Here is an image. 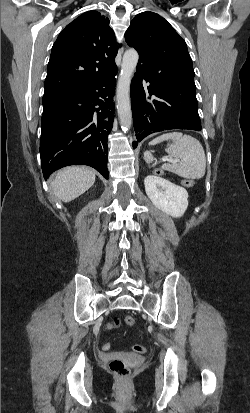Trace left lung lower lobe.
I'll return each mask as SVG.
<instances>
[{
	"label": "left lung lower lobe",
	"mask_w": 250,
	"mask_h": 413,
	"mask_svg": "<svg viewBox=\"0 0 250 413\" xmlns=\"http://www.w3.org/2000/svg\"><path fill=\"white\" fill-rule=\"evenodd\" d=\"M131 82L132 115L137 142L147 135L169 129L201 130L194 82L179 83L173 78L154 79L136 68ZM149 85L143 87L142 80Z\"/></svg>",
	"instance_id": "0a47b994"
}]
</instances>
